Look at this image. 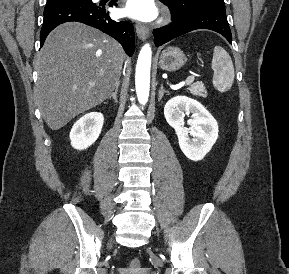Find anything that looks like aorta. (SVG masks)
I'll return each instance as SVG.
<instances>
[{
  "label": "aorta",
  "mask_w": 289,
  "mask_h": 274,
  "mask_svg": "<svg viewBox=\"0 0 289 274\" xmlns=\"http://www.w3.org/2000/svg\"><path fill=\"white\" fill-rule=\"evenodd\" d=\"M151 60V47L145 44L138 56L135 75L136 94L142 105H145L149 98Z\"/></svg>",
  "instance_id": "obj_1"
}]
</instances>
